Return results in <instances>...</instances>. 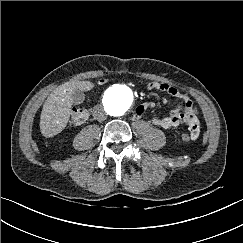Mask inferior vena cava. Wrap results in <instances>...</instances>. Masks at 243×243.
<instances>
[{"instance_id":"inferior-vena-cava-1","label":"inferior vena cava","mask_w":243,"mask_h":243,"mask_svg":"<svg viewBox=\"0 0 243 243\" xmlns=\"http://www.w3.org/2000/svg\"><path fill=\"white\" fill-rule=\"evenodd\" d=\"M93 116L98 121H104L107 118V115H106L105 111L101 107H96L94 109Z\"/></svg>"}]
</instances>
